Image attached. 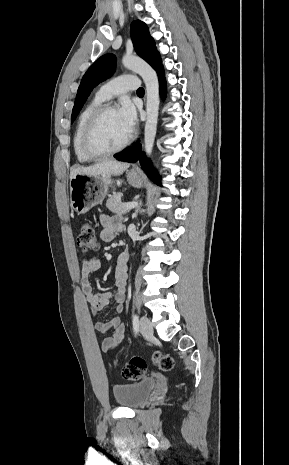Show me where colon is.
Listing matches in <instances>:
<instances>
[{
    "mask_svg": "<svg viewBox=\"0 0 289 465\" xmlns=\"http://www.w3.org/2000/svg\"><path fill=\"white\" fill-rule=\"evenodd\" d=\"M77 244L84 251L95 250L98 247L95 229L90 222L82 224L77 237ZM154 361L159 369L163 371L171 370L174 365V361L170 356L160 353L154 355ZM121 372L125 379H142L146 374V362L140 357H134L122 367Z\"/></svg>",
    "mask_w": 289,
    "mask_h": 465,
    "instance_id": "1",
    "label": "colon"
}]
</instances>
